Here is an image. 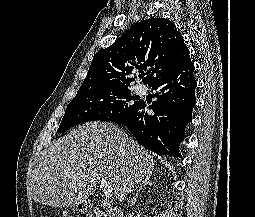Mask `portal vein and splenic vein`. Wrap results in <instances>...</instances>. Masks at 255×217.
<instances>
[{"label": "portal vein and splenic vein", "instance_id": "obj_1", "mask_svg": "<svg viewBox=\"0 0 255 217\" xmlns=\"http://www.w3.org/2000/svg\"><path fill=\"white\" fill-rule=\"evenodd\" d=\"M68 174V173H65ZM100 187L103 190L104 196L106 198H110L113 195V188L108 184V182L105 179H99Z\"/></svg>", "mask_w": 255, "mask_h": 217}]
</instances>
